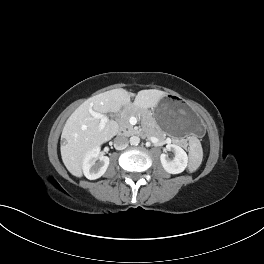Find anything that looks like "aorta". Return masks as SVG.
I'll use <instances>...</instances> for the list:
<instances>
[{
    "instance_id": "aorta-1",
    "label": "aorta",
    "mask_w": 264,
    "mask_h": 264,
    "mask_svg": "<svg viewBox=\"0 0 264 264\" xmlns=\"http://www.w3.org/2000/svg\"><path fill=\"white\" fill-rule=\"evenodd\" d=\"M129 141L131 145H138L140 143V138L138 136H131Z\"/></svg>"
}]
</instances>
